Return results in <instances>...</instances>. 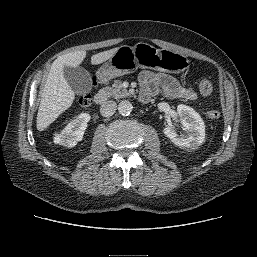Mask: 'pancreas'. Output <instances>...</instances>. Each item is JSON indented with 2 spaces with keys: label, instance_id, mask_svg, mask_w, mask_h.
Listing matches in <instances>:
<instances>
[{
  "label": "pancreas",
  "instance_id": "pancreas-1",
  "mask_svg": "<svg viewBox=\"0 0 257 257\" xmlns=\"http://www.w3.org/2000/svg\"><path fill=\"white\" fill-rule=\"evenodd\" d=\"M106 93L107 97L114 99L125 98L129 96L127 90L122 86L121 80H115L111 87H105L102 89Z\"/></svg>",
  "mask_w": 257,
  "mask_h": 257
}]
</instances>
